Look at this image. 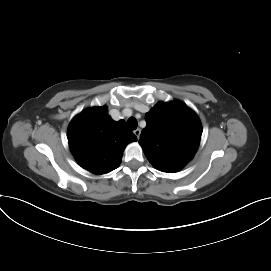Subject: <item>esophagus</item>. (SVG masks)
Listing matches in <instances>:
<instances>
[{
	"instance_id": "obj_1",
	"label": "esophagus",
	"mask_w": 271,
	"mask_h": 271,
	"mask_svg": "<svg viewBox=\"0 0 271 271\" xmlns=\"http://www.w3.org/2000/svg\"><path fill=\"white\" fill-rule=\"evenodd\" d=\"M134 134L137 137V139H139L140 134H141V130L139 128H137L136 130H134Z\"/></svg>"
}]
</instances>
